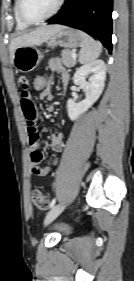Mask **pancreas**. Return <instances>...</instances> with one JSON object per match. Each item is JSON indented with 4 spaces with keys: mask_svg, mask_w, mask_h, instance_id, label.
<instances>
[{
    "mask_svg": "<svg viewBox=\"0 0 134 281\" xmlns=\"http://www.w3.org/2000/svg\"><path fill=\"white\" fill-rule=\"evenodd\" d=\"M61 56V61L66 67H73L76 65V59L72 58V51L64 49L61 51Z\"/></svg>",
    "mask_w": 134,
    "mask_h": 281,
    "instance_id": "cf45deb5",
    "label": "pancreas"
}]
</instances>
